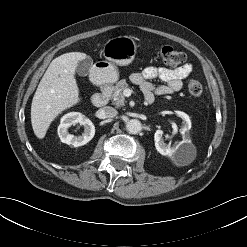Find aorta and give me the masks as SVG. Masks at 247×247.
<instances>
[{
  "instance_id": "762f6f07",
  "label": "aorta",
  "mask_w": 247,
  "mask_h": 247,
  "mask_svg": "<svg viewBox=\"0 0 247 247\" xmlns=\"http://www.w3.org/2000/svg\"><path fill=\"white\" fill-rule=\"evenodd\" d=\"M126 130L130 134H138L142 130V124L137 119H130L126 122Z\"/></svg>"
}]
</instances>
